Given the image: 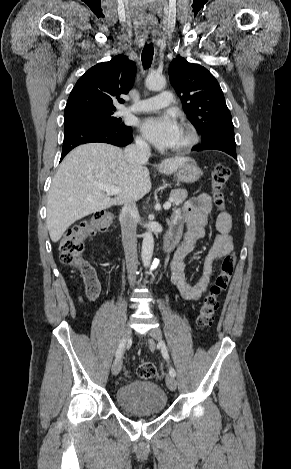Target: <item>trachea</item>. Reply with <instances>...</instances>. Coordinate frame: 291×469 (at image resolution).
Masks as SVG:
<instances>
[{
	"instance_id": "trachea-1",
	"label": "trachea",
	"mask_w": 291,
	"mask_h": 469,
	"mask_svg": "<svg viewBox=\"0 0 291 469\" xmlns=\"http://www.w3.org/2000/svg\"><path fill=\"white\" fill-rule=\"evenodd\" d=\"M153 54H154L153 43L145 44L143 51H142V56H141L144 69H147L150 67L152 59H153Z\"/></svg>"
}]
</instances>
